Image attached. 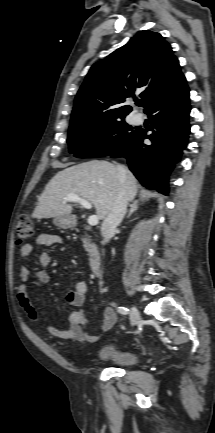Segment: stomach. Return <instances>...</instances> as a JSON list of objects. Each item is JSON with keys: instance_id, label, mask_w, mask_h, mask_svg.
Segmentation results:
<instances>
[{"instance_id": "stomach-1", "label": "stomach", "mask_w": 215, "mask_h": 433, "mask_svg": "<svg viewBox=\"0 0 215 433\" xmlns=\"http://www.w3.org/2000/svg\"><path fill=\"white\" fill-rule=\"evenodd\" d=\"M53 223L55 226H57L59 228L68 229V228H71L75 225L76 220L71 215L58 216V217L54 218Z\"/></svg>"}]
</instances>
